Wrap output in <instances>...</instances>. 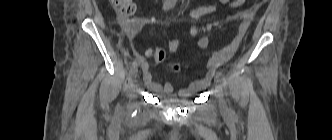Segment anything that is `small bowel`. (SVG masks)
Instances as JSON below:
<instances>
[{"label":"small bowel","instance_id":"obj_1","mask_svg":"<svg viewBox=\"0 0 332 140\" xmlns=\"http://www.w3.org/2000/svg\"><path fill=\"white\" fill-rule=\"evenodd\" d=\"M245 1L246 0H218V3L227 5L230 8H237L241 6ZM216 9L217 5L213 3L207 6L190 9L189 12L191 17L200 18L201 16L215 12ZM254 11L255 8H251L240 14L241 22L238 26L237 34L235 35L232 42L220 51H213L207 62L205 75L202 78L192 82L187 87L180 89L177 96L173 94L175 90L173 84H171L170 82H166L165 84L161 85L155 80H153L152 75L149 71L148 63L142 60L141 69L143 72V80L146 87L153 93L168 100H176L177 98H188L195 93L203 90L211 82L217 68L228 62L238 51L249 28L250 20L253 17ZM180 43V39H173L169 43L170 51L176 52L180 46ZM198 45L202 49H208L210 45L209 38L207 36H202L198 40ZM175 69L177 70V67H175Z\"/></svg>","mask_w":332,"mask_h":140}]
</instances>
